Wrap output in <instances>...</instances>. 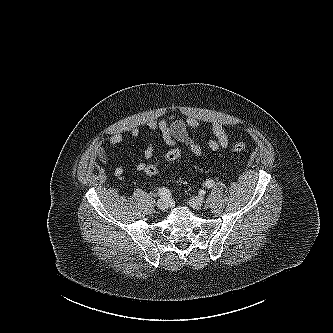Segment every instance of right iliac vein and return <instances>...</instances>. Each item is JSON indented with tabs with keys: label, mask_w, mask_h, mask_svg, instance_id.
Here are the masks:
<instances>
[{
	"label": "right iliac vein",
	"mask_w": 333,
	"mask_h": 333,
	"mask_svg": "<svg viewBox=\"0 0 333 333\" xmlns=\"http://www.w3.org/2000/svg\"><path fill=\"white\" fill-rule=\"evenodd\" d=\"M157 207L162 210L165 211L168 208V201L166 199H159L156 203Z\"/></svg>",
	"instance_id": "1"
}]
</instances>
